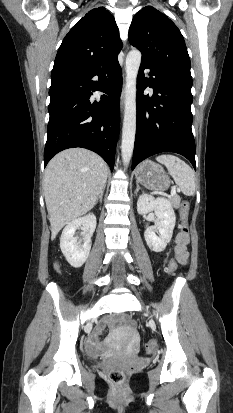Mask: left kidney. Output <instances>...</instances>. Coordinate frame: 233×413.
<instances>
[{"instance_id": "5707ae66", "label": "left kidney", "mask_w": 233, "mask_h": 413, "mask_svg": "<svg viewBox=\"0 0 233 413\" xmlns=\"http://www.w3.org/2000/svg\"><path fill=\"white\" fill-rule=\"evenodd\" d=\"M137 211L139 214L155 212L156 224L145 230L144 237L152 251H163L172 238L176 223V216L171 203L163 198L155 199L153 196L142 194L137 201ZM156 232L159 233V236L156 235Z\"/></svg>"}]
</instances>
